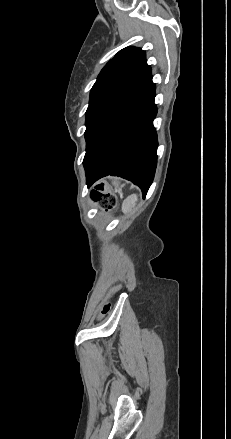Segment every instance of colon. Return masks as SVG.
Instances as JSON below:
<instances>
[{"label":"colon","instance_id":"5ec220e1","mask_svg":"<svg viewBox=\"0 0 231 439\" xmlns=\"http://www.w3.org/2000/svg\"><path fill=\"white\" fill-rule=\"evenodd\" d=\"M95 197L104 210H110L116 204V197L114 195L98 193L95 195ZM108 309V306H105L104 312L106 313Z\"/></svg>","mask_w":231,"mask_h":439}]
</instances>
